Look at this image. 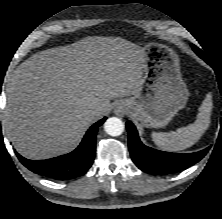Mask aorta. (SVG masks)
Returning <instances> with one entry per match:
<instances>
[{"label": "aorta", "instance_id": "1", "mask_svg": "<svg viewBox=\"0 0 222 219\" xmlns=\"http://www.w3.org/2000/svg\"><path fill=\"white\" fill-rule=\"evenodd\" d=\"M104 130L110 136H119L124 131V124L117 117H110L104 123Z\"/></svg>", "mask_w": 222, "mask_h": 219}]
</instances>
